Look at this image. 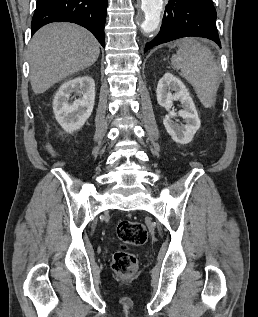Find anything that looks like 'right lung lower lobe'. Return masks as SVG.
Masks as SVG:
<instances>
[{"label": "right lung lower lobe", "instance_id": "98d812e1", "mask_svg": "<svg viewBox=\"0 0 258 317\" xmlns=\"http://www.w3.org/2000/svg\"><path fill=\"white\" fill-rule=\"evenodd\" d=\"M108 0H37L32 35L52 22H73L88 29L105 47L104 27Z\"/></svg>", "mask_w": 258, "mask_h": 317}]
</instances>
